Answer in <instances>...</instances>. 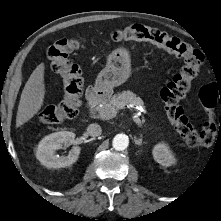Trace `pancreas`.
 <instances>
[{
    "label": "pancreas",
    "mask_w": 221,
    "mask_h": 221,
    "mask_svg": "<svg viewBox=\"0 0 221 221\" xmlns=\"http://www.w3.org/2000/svg\"><path fill=\"white\" fill-rule=\"evenodd\" d=\"M126 105L144 106L143 100L131 91H123L122 93L114 94L108 103L102 107L97 106L96 110H120Z\"/></svg>",
    "instance_id": "obj_1"
}]
</instances>
